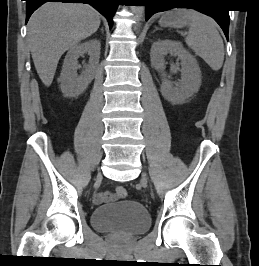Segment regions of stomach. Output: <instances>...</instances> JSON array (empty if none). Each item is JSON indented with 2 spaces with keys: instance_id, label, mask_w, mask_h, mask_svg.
Returning <instances> with one entry per match:
<instances>
[{
  "instance_id": "0dacf381",
  "label": "stomach",
  "mask_w": 259,
  "mask_h": 266,
  "mask_svg": "<svg viewBox=\"0 0 259 266\" xmlns=\"http://www.w3.org/2000/svg\"><path fill=\"white\" fill-rule=\"evenodd\" d=\"M189 19L184 16L182 9H174L162 14L159 24L162 27L182 28L189 24Z\"/></svg>"
}]
</instances>
